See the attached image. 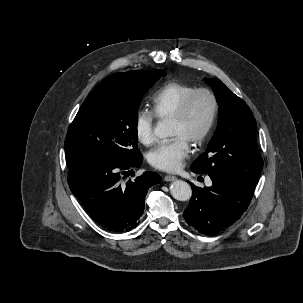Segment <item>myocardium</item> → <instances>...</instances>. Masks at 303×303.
Masks as SVG:
<instances>
[{
	"label": "myocardium",
	"instance_id": "1",
	"mask_svg": "<svg viewBox=\"0 0 303 303\" xmlns=\"http://www.w3.org/2000/svg\"><path fill=\"white\" fill-rule=\"evenodd\" d=\"M200 94H205L209 97L211 101V112L204 129L193 141L196 146L202 145L205 142L216 122L219 111V103L214 92L208 88H196L186 96L176 113L171 117L172 121H183L187 117L194 99Z\"/></svg>",
	"mask_w": 303,
	"mask_h": 303
}]
</instances>
